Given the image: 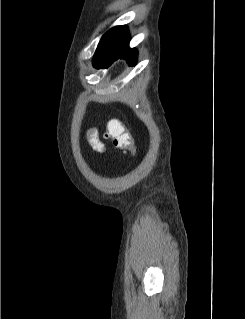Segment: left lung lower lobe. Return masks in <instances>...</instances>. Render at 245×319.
I'll list each match as a JSON object with an SVG mask.
<instances>
[{"instance_id":"obj_1","label":"left lung lower lobe","mask_w":245,"mask_h":319,"mask_svg":"<svg viewBox=\"0 0 245 319\" xmlns=\"http://www.w3.org/2000/svg\"><path fill=\"white\" fill-rule=\"evenodd\" d=\"M129 32L128 29L124 31L116 46L111 50H103L95 52L94 64L97 67L109 66L114 60L123 58L127 60L130 65L136 64L137 50L135 48H129Z\"/></svg>"}]
</instances>
